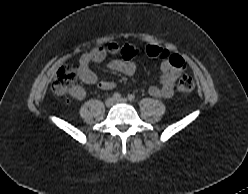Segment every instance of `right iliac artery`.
<instances>
[{
  "mask_svg": "<svg viewBox=\"0 0 248 194\" xmlns=\"http://www.w3.org/2000/svg\"><path fill=\"white\" fill-rule=\"evenodd\" d=\"M113 98H114L115 100H118V99L121 98V94L118 93V92H115V93L113 94Z\"/></svg>",
  "mask_w": 248,
  "mask_h": 194,
  "instance_id": "obj_1",
  "label": "right iliac artery"
}]
</instances>
